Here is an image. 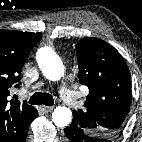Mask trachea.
<instances>
[{"mask_svg": "<svg viewBox=\"0 0 142 142\" xmlns=\"http://www.w3.org/2000/svg\"><path fill=\"white\" fill-rule=\"evenodd\" d=\"M29 103L32 105L44 104L46 106H53L54 99L49 93L36 92L29 99Z\"/></svg>", "mask_w": 142, "mask_h": 142, "instance_id": "3493384b", "label": "trachea"}]
</instances>
